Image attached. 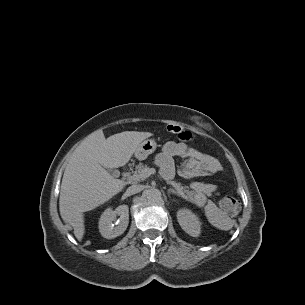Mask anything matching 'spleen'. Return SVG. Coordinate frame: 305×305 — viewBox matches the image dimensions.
<instances>
[{"label":"spleen","instance_id":"spleen-1","mask_svg":"<svg viewBox=\"0 0 305 305\" xmlns=\"http://www.w3.org/2000/svg\"><path fill=\"white\" fill-rule=\"evenodd\" d=\"M224 225H225V224H221L220 227L224 229V227H225Z\"/></svg>","mask_w":305,"mask_h":305}]
</instances>
